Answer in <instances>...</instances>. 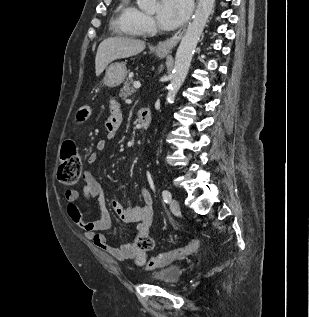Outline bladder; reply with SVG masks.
Returning a JSON list of instances; mask_svg holds the SVG:
<instances>
[{
  "mask_svg": "<svg viewBox=\"0 0 309 317\" xmlns=\"http://www.w3.org/2000/svg\"><path fill=\"white\" fill-rule=\"evenodd\" d=\"M182 276V270L176 265H166L153 274H151L150 279L152 281L162 283V284H175Z\"/></svg>",
  "mask_w": 309,
  "mask_h": 317,
  "instance_id": "bladder-1",
  "label": "bladder"
}]
</instances>
